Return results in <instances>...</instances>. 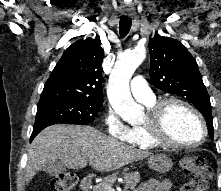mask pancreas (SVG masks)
Returning <instances> with one entry per match:
<instances>
[{
  "label": "pancreas",
  "instance_id": "obj_1",
  "mask_svg": "<svg viewBox=\"0 0 221 191\" xmlns=\"http://www.w3.org/2000/svg\"><path fill=\"white\" fill-rule=\"evenodd\" d=\"M118 177V173H114L107 178H105L102 182L99 184H96L93 187V191H108V186H111L114 184L115 180ZM122 177L125 181V188L127 189H134L137 183L140 182V175L138 172L135 173H122Z\"/></svg>",
  "mask_w": 221,
  "mask_h": 191
}]
</instances>
